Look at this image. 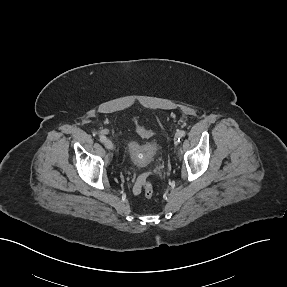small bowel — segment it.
I'll return each mask as SVG.
<instances>
[{
	"instance_id": "c3829d8e",
	"label": "small bowel",
	"mask_w": 287,
	"mask_h": 287,
	"mask_svg": "<svg viewBox=\"0 0 287 287\" xmlns=\"http://www.w3.org/2000/svg\"><path fill=\"white\" fill-rule=\"evenodd\" d=\"M134 191H135L136 193H139L140 190H139V188L135 187Z\"/></svg>"
}]
</instances>
